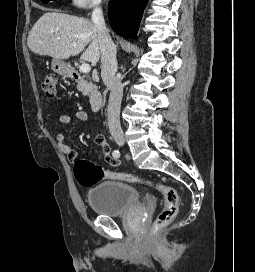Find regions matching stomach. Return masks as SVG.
<instances>
[{"label":"stomach","instance_id":"obj_1","mask_svg":"<svg viewBox=\"0 0 255 272\" xmlns=\"http://www.w3.org/2000/svg\"><path fill=\"white\" fill-rule=\"evenodd\" d=\"M51 69L64 77H71L72 75V68L69 64L64 62L63 60L54 59L51 63Z\"/></svg>","mask_w":255,"mask_h":272}]
</instances>
